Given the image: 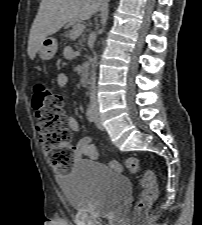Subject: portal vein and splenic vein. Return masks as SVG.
I'll list each match as a JSON object with an SVG mask.
<instances>
[{
	"instance_id": "1",
	"label": "portal vein and splenic vein",
	"mask_w": 202,
	"mask_h": 225,
	"mask_svg": "<svg viewBox=\"0 0 202 225\" xmlns=\"http://www.w3.org/2000/svg\"><path fill=\"white\" fill-rule=\"evenodd\" d=\"M85 26L83 24H76L73 26V29L70 31V38L75 39L82 34Z\"/></svg>"
}]
</instances>
